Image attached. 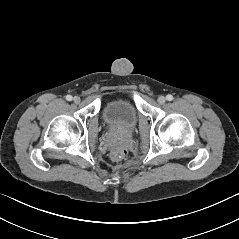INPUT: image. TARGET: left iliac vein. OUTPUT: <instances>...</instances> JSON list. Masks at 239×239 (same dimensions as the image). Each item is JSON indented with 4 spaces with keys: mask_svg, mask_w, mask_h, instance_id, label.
I'll list each match as a JSON object with an SVG mask.
<instances>
[{
    "mask_svg": "<svg viewBox=\"0 0 239 239\" xmlns=\"http://www.w3.org/2000/svg\"><path fill=\"white\" fill-rule=\"evenodd\" d=\"M157 101H158L159 104H164L165 101H166V98L164 96H159Z\"/></svg>",
    "mask_w": 239,
    "mask_h": 239,
    "instance_id": "obj_1",
    "label": "left iliac vein"
}]
</instances>
